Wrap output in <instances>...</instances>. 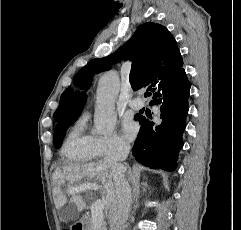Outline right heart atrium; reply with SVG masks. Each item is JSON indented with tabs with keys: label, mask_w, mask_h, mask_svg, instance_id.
<instances>
[{
	"label": "right heart atrium",
	"mask_w": 241,
	"mask_h": 230,
	"mask_svg": "<svg viewBox=\"0 0 241 230\" xmlns=\"http://www.w3.org/2000/svg\"><path fill=\"white\" fill-rule=\"evenodd\" d=\"M96 147L99 156L102 157L123 156L129 150L128 142L117 134L108 137H97Z\"/></svg>",
	"instance_id": "d8ad5b80"
}]
</instances>
